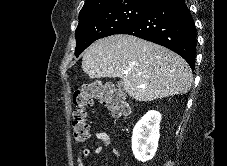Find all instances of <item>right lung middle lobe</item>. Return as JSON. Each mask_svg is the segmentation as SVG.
Instances as JSON below:
<instances>
[{
	"label": "right lung middle lobe",
	"mask_w": 227,
	"mask_h": 166,
	"mask_svg": "<svg viewBox=\"0 0 227 166\" xmlns=\"http://www.w3.org/2000/svg\"><path fill=\"white\" fill-rule=\"evenodd\" d=\"M152 7L131 2L79 14V24L75 32L76 57L97 39L118 34L129 27L142 18Z\"/></svg>",
	"instance_id": "obj_1"
}]
</instances>
